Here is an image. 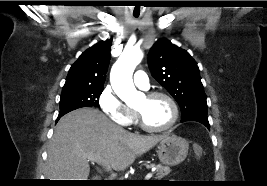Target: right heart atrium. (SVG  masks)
I'll return each instance as SVG.
<instances>
[{
	"mask_svg": "<svg viewBox=\"0 0 267 186\" xmlns=\"http://www.w3.org/2000/svg\"><path fill=\"white\" fill-rule=\"evenodd\" d=\"M98 104L107 117L121 126L132 123L131 111L117 97L111 86H105L98 97Z\"/></svg>",
	"mask_w": 267,
	"mask_h": 186,
	"instance_id": "1",
	"label": "right heart atrium"
}]
</instances>
